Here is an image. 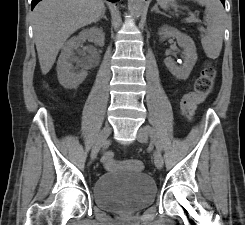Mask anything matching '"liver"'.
Segmentation results:
<instances>
[{
    "mask_svg": "<svg viewBox=\"0 0 245 225\" xmlns=\"http://www.w3.org/2000/svg\"><path fill=\"white\" fill-rule=\"evenodd\" d=\"M103 0H42L33 11V31L42 74H47L59 50L75 31L98 21Z\"/></svg>",
    "mask_w": 245,
    "mask_h": 225,
    "instance_id": "obj_1",
    "label": "liver"
}]
</instances>
